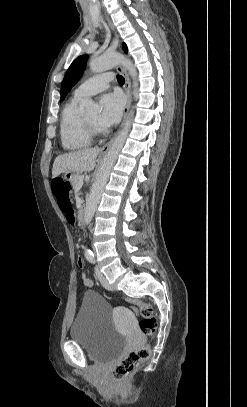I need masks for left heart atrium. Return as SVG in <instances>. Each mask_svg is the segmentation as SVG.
<instances>
[{
	"mask_svg": "<svg viewBox=\"0 0 247 407\" xmlns=\"http://www.w3.org/2000/svg\"><path fill=\"white\" fill-rule=\"evenodd\" d=\"M102 110L99 115L101 127H110L116 124L122 114L124 99L118 92L107 93L101 98Z\"/></svg>",
	"mask_w": 247,
	"mask_h": 407,
	"instance_id": "left-heart-atrium-1",
	"label": "left heart atrium"
}]
</instances>
